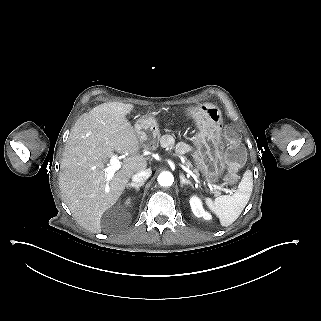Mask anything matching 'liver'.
<instances>
[{"label":"liver","mask_w":321,"mask_h":321,"mask_svg":"<svg viewBox=\"0 0 321 321\" xmlns=\"http://www.w3.org/2000/svg\"><path fill=\"white\" fill-rule=\"evenodd\" d=\"M133 108L132 104L108 102L82 114L63 152L59 174L62 199L77 223L92 233L101 232L103 213L117 202L128 180L147 167L146 158L138 153L136 131L126 119ZM114 151L129 156L106 185L104 167Z\"/></svg>","instance_id":"1"}]
</instances>
